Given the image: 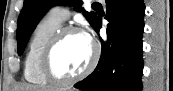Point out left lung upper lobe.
Wrapping results in <instances>:
<instances>
[{
    "label": "left lung upper lobe",
    "instance_id": "1",
    "mask_svg": "<svg viewBox=\"0 0 173 91\" xmlns=\"http://www.w3.org/2000/svg\"><path fill=\"white\" fill-rule=\"evenodd\" d=\"M58 4L73 6L76 11L83 12V15L94 28L98 16L95 12L84 11L81 7L82 0H24V6L18 18V54L24 51L31 33L42 16L50 7Z\"/></svg>",
    "mask_w": 173,
    "mask_h": 91
}]
</instances>
